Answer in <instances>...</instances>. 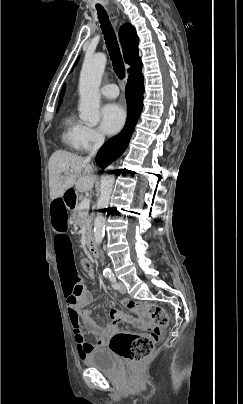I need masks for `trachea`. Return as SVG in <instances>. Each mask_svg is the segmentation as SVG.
<instances>
[{
    "label": "trachea",
    "mask_w": 243,
    "mask_h": 404,
    "mask_svg": "<svg viewBox=\"0 0 243 404\" xmlns=\"http://www.w3.org/2000/svg\"><path fill=\"white\" fill-rule=\"evenodd\" d=\"M99 23L101 24V30L104 35L105 44L109 52L113 69L118 78H125V66L123 63L122 55L119 49L116 34L112 28L108 14L104 7L97 6Z\"/></svg>",
    "instance_id": "3493384b"
}]
</instances>
